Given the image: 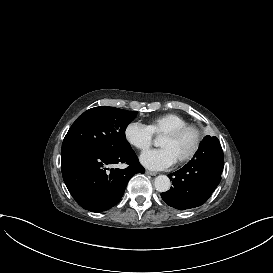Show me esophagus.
Listing matches in <instances>:
<instances>
[{
	"mask_svg": "<svg viewBox=\"0 0 273 273\" xmlns=\"http://www.w3.org/2000/svg\"><path fill=\"white\" fill-rule=\"evenodd\" d=\"M146 174H147V175H151V176H156L158 173H157V172H153V171L146 170Z\"/></svg>",
	"mask_w": 273,
	"mask_h": 273,
	"instance_id": "obj_1",
	"label": "esophagus"
}]
</instances>
